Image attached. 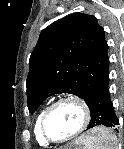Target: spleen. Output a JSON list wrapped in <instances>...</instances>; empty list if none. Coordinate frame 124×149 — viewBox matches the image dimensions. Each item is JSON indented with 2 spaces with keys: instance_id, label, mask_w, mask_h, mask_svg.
<instances>
[{
  "instance_id": "obj_1",
  "label": "spleen",
  "mask_w": 124,
  "mask_h": 149,
  "mask_svg": "<svg viewBox=\"0 0 124 149\" xmlns=\"http://www.w3.org/2000/svg\"><path fill=\"white\" fill-rule=\"evenodd\" d=\"M96 135L84 139L85 149H114L117 145L116 136L106 128L98 127Z\"/></svg>"
}]
</instances>
